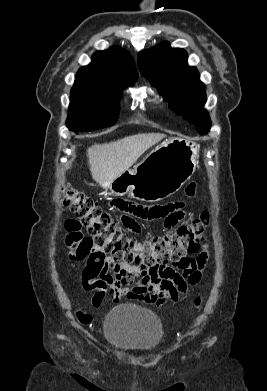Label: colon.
I'll use <instances>...</instances> for the list:
<instances>
[{
  "instance_id": "colon-1",
  "label": "colon",
  "mask_w": 267,
  "mask_h": 391,
  "mask_svg": "<svg viewBox=\"0 0 267 391\" xmlns=\"http://www.w3.org/2000/svg\"><path fill=\"white\" fill-rule=\"evenodd\" d=\"M60 201L87 229L86 236L74 239L83 253L107 254L116 262L140 266L149 272H156L170 263L179 265L187 254L197 252L209 224V214L204 212L174 233L139 240L121 231L115 221L82 192L62 187ZM195 303L199 305L200 299Z\"/></svg>"
}]
</instances>
